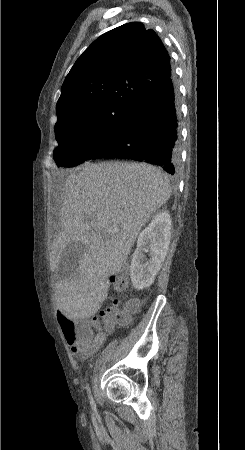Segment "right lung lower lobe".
Wrapping results in <instances>:
<instances>
[{"label":"right lung lower lobe","mask_w":245,"mask_h":450,"mask_svg":"<svg viewBox=\"0 0 245 450\" xmlns=\"http://www.w3.org/2000/svg\"><path fill=\"white\" fill-rule=\"evenodd\" d=\"M178 112L171 75L162 87L133 107L123 134L89 159H132L160 166L170 174L176 173L180 160Z\"/></svg>","instance_id":"right-lung-lower-lobe-1"}]
</instances>
